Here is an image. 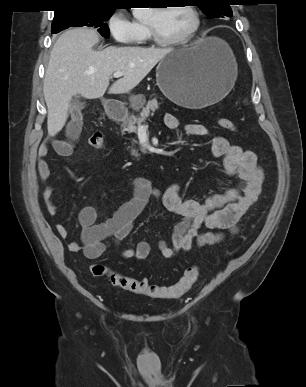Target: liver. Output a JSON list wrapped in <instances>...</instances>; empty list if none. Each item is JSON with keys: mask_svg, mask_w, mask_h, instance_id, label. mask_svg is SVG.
Masks as SVG:
<instances>
[{"mask_svg": "<svg viewBox=\"0 0 306 387\" xmlns=\"http://www.w3.org/2000/svg\"><path fill=\"white\" fill-rule=\"evenodd\" d=\"M98 42L97 32L88 28L70 29L55 42L43 85L50 136H55L64 127L73 96L103 97L115 72H123L124 76L110 86L109 93H129L174 50L109 46L96 51L93 47Z\"/></svg>", "mask_w": 306, "mask_h": 387, "instance_id": "liver-1", "label": "liver"}]
</instances>
